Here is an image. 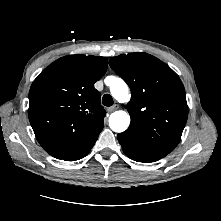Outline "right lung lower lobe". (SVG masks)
<instances>
[{
    "label": "right lung lower lobe",
    "mask_w": 221,
    "mask_h": 221,
    "mask_svg": "<svg viewBox=\"0 0 221 221\" xmlns=\"http://www.w3.org/2000/svg\"><path fill=\"white\" fill-rule=\"evenodd\" d=\"M99 133L83 149L79 150L78 152H76L68 157L63 158V160L75 161V160H79V159L83 158L84 156H86L90 152L93 145L95 144V142L99 136Z\"/></svg>",
    "instance_id": "right-lung-lower-lobe-1"
}]
</instances>
